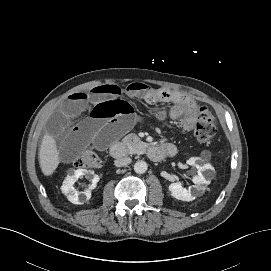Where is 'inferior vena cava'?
Instances as JSON below:
<instances>
[{"label":"inferior vena cava","mask_w":271,"mask_h":271,"mask_svg":"<svg viewBox=\"0 0 271 271\" xmlns=\"http://www.w3.org/2000/svg\"><path fill=\"white\" fill-rule=\"evenodd\" d=\"M131 158L130 157H122L114 161L115 166L117 167H122L126 166L131 163Z\"/></svg>","instance_id":"1"}]
</instances>
